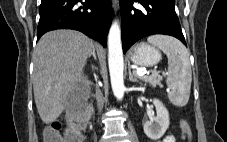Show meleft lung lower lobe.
Returning <instances> with one entry per match:
<instances>
[{
  "mask_svg": "<svg viewBox=\"0 0 227 142\" xmlns=\"http://www.w3.org/2000/svg\"><path fill=\"white\" fill-rule=\"evenodd\" d=\"M134 2L144 8H134ZM120 7L124 53L141 38L154 34L174 36L186 45L175 12V0H120Z\"/></svg>",
  "mask_w": 227,
  "mask_h": 142,
  "instance_id": "left-lung-lower-lobe-1",
  "label": "left lung lower lobe"
}]
</instances>
